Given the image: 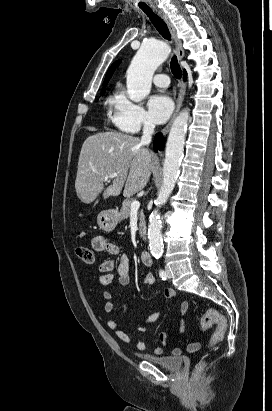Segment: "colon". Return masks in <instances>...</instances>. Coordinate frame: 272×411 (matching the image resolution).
Instances as JSON below:
<instances>
[{
	"mask_svg": "<svg viewBox=\"0 0 272 411\" xmlns=\"http://www.w3.org/2000/svg\"><path fill=\"white\" fill-rule=\"evenodd\" d=\"M76 255L77 257L85 264H93L95 260V256L93 251L85 246H78L76 248ZM215 325L216 329L212 334L209 346L212 347L217 343L221 342L224 339L226 330H227V320L226 318L218 313L217 311H207L201 318L200 327L202 330H207L211 326ZM205 362L200 361L196 367L195 378L197 374L204 368Z\"/></svg>",
	"mask_w": 272,
	"mask_h": 411,
	"instance_id": "colon-1",
	"label": "colon"
}]
</instances>
